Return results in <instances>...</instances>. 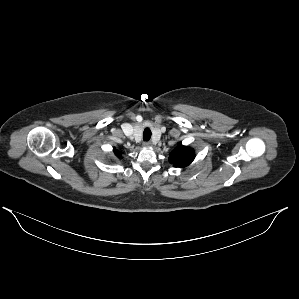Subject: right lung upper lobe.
<instances>
[{
	"mask_svg": "<svg viewBox=\"0 0 299 299\" xmlns=\"http://www.w3.org/2000/svg\"><path fill=\"white\" fill-rule=\"evenodd\" d=\"M114 153L117 157H121V153L118 150L114 149Z\"/></svg>",
	"mask_w": 299,
	"mask_h": 299,
	"instance_id": "right-lung-upper-lobe-1",
	"label": "right lung upper lobe"
}]
</instances>
